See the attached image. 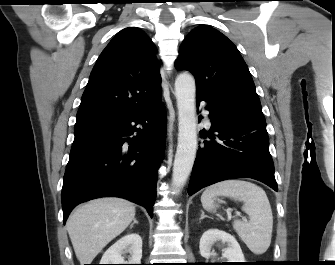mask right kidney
<instances>
[{
	"mask_svg": "<svg viewBox=\"0 0 335 265\" xmlns=\"http://www.w3.org/2000/svg\"><path fill=\"white\" fill-rule=\"evenodd\" d=\"M129 253L128 261L123 254ZM142 239L137 233H130L116 241L103 254L100 264H141Z\"/></svg>",
	"mask_w": 335,
	"mask_h": 265,
	"instance_id": "right-kidney-1",
	"label": "right kidney"
}]
</instances>
